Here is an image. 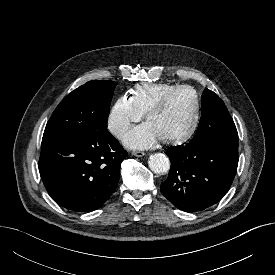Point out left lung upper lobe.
I'll return each mask as SVG.
<instances>
[{"instance_id":"5c2ea615","label":"left lung upper lobe","mask_w":275,"mask_h":275,"mask_svg":"<svg viewBox=\"0 0 275 275\" xmlns=\"http://www.w3.org/2000/svg\"><path fill=\"white\" fill-rule=\"evenodd\" d=\"M207 142L238 143V133L224 102L213 91L206 88L202 94L201 120L190 143Z\"/></svg>"}]
</instances>
